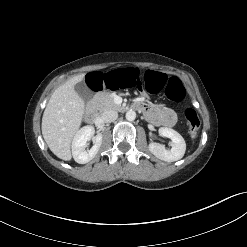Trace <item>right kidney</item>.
<instances>
[{
	"mask_svg": "<svg viewBox=\"0 0 247 247\" xmlns=\"http://www.w3.org/2000/svg\"><path fill=\"white\" fill-rule=\"evenodd\" d=\"M95 130L92 126H85L81 128L73 138L72 141V155L74 160L79 164L88 163L98 153L102 144V134L99 133L94 136ZM93 141L94 145L86 151L87 141Z\"/></svg>",
	"mask_w": 247,
	"mask_h": 247,
	"instance_id": "right-kidney-1",
	"label": "right kidney"
}]
</instances>
